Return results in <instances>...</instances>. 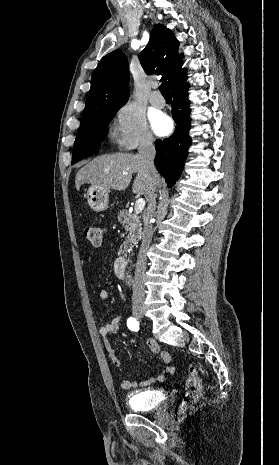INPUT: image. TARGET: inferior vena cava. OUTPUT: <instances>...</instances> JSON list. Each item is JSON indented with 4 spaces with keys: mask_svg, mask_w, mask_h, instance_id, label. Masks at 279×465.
Masks as SVG:
<instances>
[{
    "mask_svg": "<svg viewBox=\"0 0 279 465\" xmlns=\"http://www.w3.org/2000/svg\"><path fill=\"white\" fill-rule=\"evenodd\" d=\"M139 157L142 159L144 167L146 168L149 174V181H150V190L147 194V201L148 207L144 214V229L142 235V243L140 246L138 259L136 263V271H135V284L133 289V301L135 303L142 302L144 300V285H143V278L145 275L146 270V263L147 257L146 253L149 248L152 234H153V227L151 224V218L155 211L156 205V183H155V175L156 169L154 165V158H155V147L153 143V138L150 136L145 137L139 146L138 149Z\"/></svg>",
    "mask_w": 279,
    "mask_h": 465,
    "instance_id": "inferior-vena-cava-1",
    "label": "inferior vena cava"
}]
</instances>
